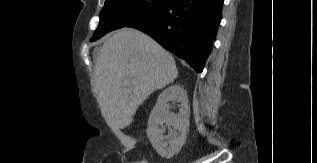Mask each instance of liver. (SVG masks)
I'll return each instance as SVG.
<instances>
[{
    "instance_id": "6515ba94",
    "label": "liver",
    "mask_w": 317,
    "mask_h": 163,
    "mask_svg": "<svg viewBox=\"0 0 317 163\" xmlns=\"http://www.w3.org/2000/svg\"><path fill=\"white\" fill-rule=\"evenodd\" d=\"M177 75L169 52L145 33L125 27L109 34L100 48L93 93L108 126L124 129L139 105Z\"/></svg>"
}]
</instances>
